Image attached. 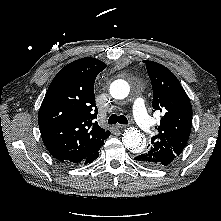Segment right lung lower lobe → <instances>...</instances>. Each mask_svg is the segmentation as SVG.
Returning a JSON list of instances; mask_svg holds the SVG:
<instances>
[{
  "instance_id": "1",
  "label": "right lung lower lobe",
  "mask_w": 221,
  "mask_h": 221,
  "mask_svg": "<svg viewBox=\"0 0 221 221\" xmlns=\"http://www.w3.org/2000/svg\"><path fill=\"white\" fill-rule=\"evenodd\" d=\"M99 156V150L96 151L95 153H93L92 155H90L83 163H90L92 161H94L97 157Z\"/></svg>"
}]
</instances>
